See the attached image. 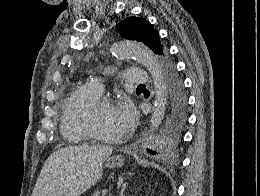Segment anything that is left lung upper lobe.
<instances>
[{
	"mask_svg": "<svg viewBox=\"0 0 260 196\" xmlns=\"http://www.w3.org/2000/svg\"><path fill=\"white\" fill-rule=\"evenodd\" d=\"M117 29L123 38L142 42L160 56L166 80L164 112L161 124L151 138V145L155 151L150 152L175 151L182 141L187 101L182 81L167 48L160 42L158 32L146 19L128 17L117 25Z\"/></svg>",
	"mask_w": 260,
	"mask_h": 196,
	"instance_id": "5c2ea615",
	"label": "left lung upper lobe"
}]
</instances>
